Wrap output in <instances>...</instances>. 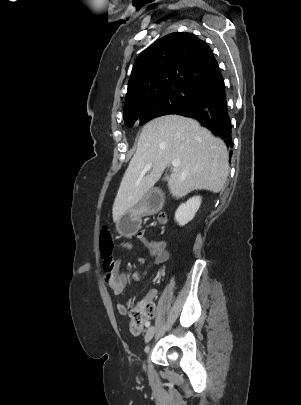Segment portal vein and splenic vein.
Returning a JSON list of instances; mask_svg holds the SVG:
<instances>
[{"mask_svg":"<svg viewBox=\"0 0 301 405\" xmlns=\"http://www.w3.org/2000/svg\"><path fill=\"white\" fill-rule=\"evenodd\" d=\"M179 164H180V161H179V160H173V161H172V166H173V167H177V166H179ZM150 168H151V164H147V165L145 166L144 171L146 172V171H148Z\"/></svg>","mask_w":301,"mask_h":405,"instance_id":"1","label":"portal vein and splenic vein"}]
</instances>
